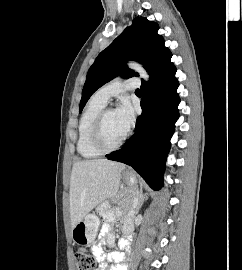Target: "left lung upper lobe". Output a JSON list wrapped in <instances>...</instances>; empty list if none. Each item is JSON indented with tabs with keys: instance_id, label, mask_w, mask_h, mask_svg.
Returning <instances> with one entry per match:
<instances>
[{
	"instance_id": "5c2ea615",
	"label": "left lung upper lobe",
	"mask_w": 242,
	"mask_h": 270,
	"mask_svg": "<svg viewBox=\"0 0 242 270\" xmlns=\"http://www.w3.org/2000/svg\"><path fill=\"white\" fill-rule=\"evenodd\" d=\"M158 29V24L144 17H136L132 25L97 56L87 73L79 112L90 96L111 79L118 75L123 78L138 76V73L127 68L128 60L140 62L149 74L170 60L172 54L164 46L163 38L157 34Z\"/></svg>"
}]
</instances>
